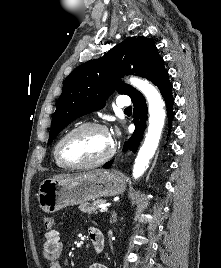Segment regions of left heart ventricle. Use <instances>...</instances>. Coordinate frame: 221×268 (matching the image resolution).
Listing matches in <instances>:
<instances>
[{"mask_svg":"<svg viewBox=\"0 0 221 268\" xmlns=\"http://www.w3.org/2000/svg\"><path fill=\"white\" fill-rule=\"evenodd\" d=\"M110 135L99 129H85L70 136L63 144L62 156L81 163L99 159L112 148Z\"/></svg>","mask_w":221,"mask_h":268,"instance_id":"b2bd125f","label":"left heart ventricle"}]
</instances>
